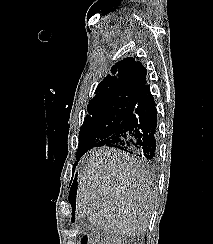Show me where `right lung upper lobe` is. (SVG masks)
Segmentation results:
<instances>
[{"label":"right lung upper lobe","mask_w":213,"mask_h":244,"mask_svg":"<svg viewBox=\"0 0 213 244\" xmlns=\"http://www.w3.org/2000/svg\"><path fill=\"white\" fill-rule=\"evenodd\" d=\"M112 74L107 75L95 90L91 101L116 95L137 96L140 90L147 85L146 68L139 61L128 57L116 63Z\"/></svg>","instance_id":"right-lung-upper-lobe-1"}]
</instances>
